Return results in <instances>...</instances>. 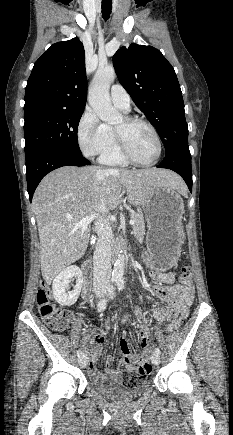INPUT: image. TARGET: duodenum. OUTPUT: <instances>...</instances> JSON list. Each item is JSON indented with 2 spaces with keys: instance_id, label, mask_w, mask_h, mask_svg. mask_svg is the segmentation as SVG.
<instances>
[{
  "instance_id": "1",
  "label": "duodenum",
  "mask_w": 233,
  "mask_h": 435,
  "mask_svg": "<svg viewBox=\"0 0 233 435\" xmlns=\"http://www.w3.org/2000/svg\"><path fill=\"white\" fill-rule=\"evenodd\" d=\"M85 269L87 272H90V267L89 266H85Z\"/></svg>"
}]
</instances>
